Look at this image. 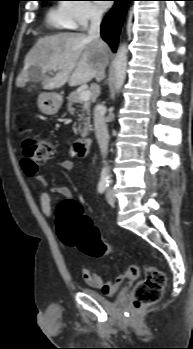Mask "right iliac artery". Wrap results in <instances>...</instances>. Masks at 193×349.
<instances>
[{"label": "right iliac artery", "mask_w": 193, "mask_h": 349, "mask_svg": "<svg viewBox=\"0 0 193 349\" xmlns=\"http://www.w3.org/2000/svg\"><path fill=\"white\" fill-rule=\"evenodd\" d=\"M107 187H108V183H106V182L99 183L98 184V192L99 193H104L105 190L107 189Z\"/></svg>", "instance_id": "right-iliac-artery-1"}]
</instances>
